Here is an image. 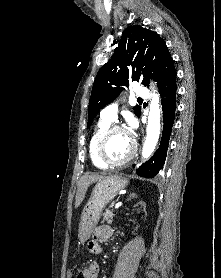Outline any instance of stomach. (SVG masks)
Listing matches in <instances>:
<instances>
[{"label": "stomach", "instance_id": "0dacf381", "mask_svg": "<svg viewBox=\"0 0 221 278\" xmlns=\"http://www.w3.org/2000/svg\"><path fill=\"white\" fill-rule=\"evenodd\" d=\"M127 185L128 180L119 175H110L97 182L81 214L78 229V238L81 243H85L91 237L103 209Z\"/></svg>", "mask_w": 221, "mask_h": 278}]
</instances>
